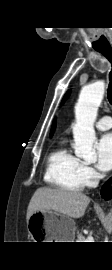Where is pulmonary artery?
Masks as SVG:
<instances>
[{"instance_id":"obj_1","label":"pulmonary artery","mask_w":112,"mask_h":270,"mask_svg":"<svg viewBox=\"0 0 112 270\" xmlns=\"http://www.w3.org/2000/svg\"><path fill=\"white\" fill-rule=\"evenodd\" d=\"M95 126L99 130H108L112 128V118L110 116H104L96 122Z\"/></svg>"}]
</instances>
